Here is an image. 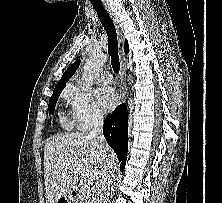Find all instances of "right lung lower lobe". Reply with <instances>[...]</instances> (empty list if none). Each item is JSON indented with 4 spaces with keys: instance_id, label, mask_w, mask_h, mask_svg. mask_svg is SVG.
I'll return each instance as SVG.
<instances>
[{
    "instance_id": "98d812e1",
    "label": "right lung lower lobe",
    "mask_w": 222,
    "mask_h": 203,
    "mask_svg": "<svg viewBox=\"0 0 222 203\" xmlns=\"http://www.w3.org/2000/svg\"><path fill=\"white\" fill-rule=\"evenodd\" d=\"M128 114L125 104L119 105L109 115L103 125V134L109 146L115 151L118 160L121 161V169L124 170L127 158L128 143Z\"/></svg>"
}]
</instances>
